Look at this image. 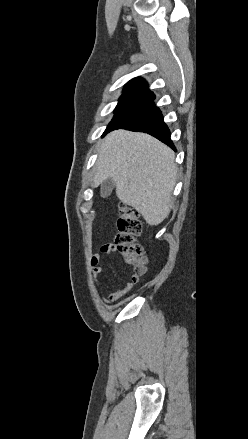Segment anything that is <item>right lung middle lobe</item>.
<instances>
[{"instance_id": "right-lung-middle-lobe-1", "label": "right lung middle lobe", "mask_w": 248, "mask_h": 439, "mask_svg": "<svg viewBox=\"0 0 248 439\" xmlns=\"http://www.w3.org/2000/svg\"><path fill=\"white\" fill-rule=\"evenodd\" d=\"M152 100L153 98L146 96L122 95L119 99L118 105L115 108V115L112 121L109 123L107 129L146 106Z\"/></svg>"}]
</instances>
